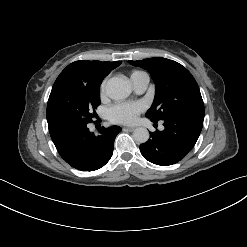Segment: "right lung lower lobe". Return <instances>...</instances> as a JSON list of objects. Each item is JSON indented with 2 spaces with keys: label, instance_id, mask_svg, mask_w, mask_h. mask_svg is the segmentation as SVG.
Returning a JSON list of instances; mask_svg holds the SVG:
<instances>
[{
  "label": "right lung lower lobe",
  "instance_id": "98d812e1",
  "mask_svg": "<svg viewBox=\"0 0 247 247\" xmlns=\"http://www.w3.org/2000/svg\"><path fill=\"white\" fill-rule=\"evenodd\" d=\"M121 131L119 126L99 130L95 136L85 125L69 126L51 135L60 156L81 171L103 167L113 155L114 140Z\"/></svg>",
  "mask_w": 247,
  "mask_h": 247
}]
</instances>
